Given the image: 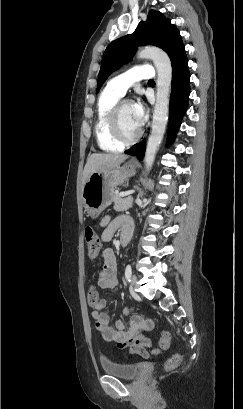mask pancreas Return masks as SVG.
Here are the masks:
<instances>
[{
    "instance_id": "1",
    "label": "pancreas",
    "mask_w": 243,
    "mask_h": 409,
    "mask_svg": "<svg viewBox=\"0 0 243 409\" xmlns=\"http://www.w3.org/2000/svg\"><path fill=\"white\" fill-rule=\"evenodd\" d=\"M114 210L117 212L126 211L132 207L133 199L131 197L122 198L119 193L113 194Z\"/></svg>"
}]
</instances>
